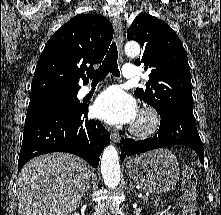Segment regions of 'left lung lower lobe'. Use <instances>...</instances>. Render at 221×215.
<instances>
[{
  "mask_svg": "<svg viewBox=\"0 0 221 215\" xmlns=\"http://www.w3.org/2000/svg\"><path fill=\"white\" fill-rule=\"evenodd\" d=\"M160 127L157 134L149 139L135 141L126 139L120 159L133 154L143 153L152 149L184 145L193 149L202 164H204V150L197 131L196 119L193 113L169 112L161 115Z\"/></svg>",
  "mask_w": 221,
  "mask_h": 215,
  "instance_id": "1",
  "label": "left lung lower lobe"
}]
</instances>
